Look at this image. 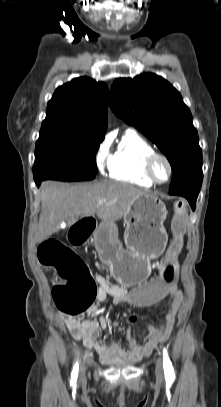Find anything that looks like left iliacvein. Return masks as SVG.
Instances as JSON below:
<instances>
[{
  "mask_svg": "<svg viewBox=\"0 0 221 407\" xmlns=\"http://www.w3.org/2000/svg\"><path fill=\"white\" fill-rule=\"evenodd\" d=\"M156 376L160 379L163 378L164 376V371H163V362L162 358L159 357L156 363Z\"/></svg>",
  "mask_w": 221,
  "mask_h": 407,
  "instance_id": "obj_1",
  "label": "left iliac vein"
}]
</instances>
